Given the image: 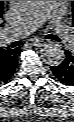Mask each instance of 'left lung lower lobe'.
I'll return each mask as SVG.
<instances>
[{"instance_id": "1", "label": "left lung lower lobe", "mask_w": 74, "mask_h": 122, "mask_svg": "<svg viewBox=\"0 0 74 122\" xmlns=\"http://www.w3.org/2000/svg\"><path fill=\"white\" fill-rule=\"evenodd\" d=\"M51 70L60 83L74 86V49L65 50V59Z\"/></svg>"}]
</instances>
